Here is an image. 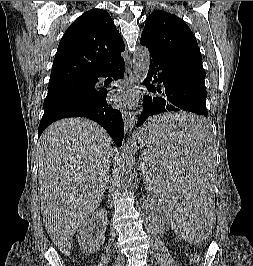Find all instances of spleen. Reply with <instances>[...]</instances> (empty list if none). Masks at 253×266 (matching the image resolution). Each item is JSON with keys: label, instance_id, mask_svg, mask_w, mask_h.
<instances>
[{"label": "spleen", "instance_id": "obj_1", "mask_svg": "<svg viewBox=\"0 0 253 266\" xmlns=\"http://www.w3.org/2000/svg\"><path fill=\"white\" fill-rule=\"evenodd\" d=\"M206 115L201 111H163L149 117L139 174L152 193L154 203L161 204L177 229L186 248H202L209 235H216L213 226L212 179L214 165Z\"/></svg>", "mask_w": 253, "mask_h": 266}]
</instances>
